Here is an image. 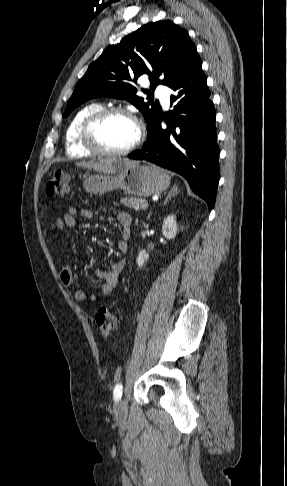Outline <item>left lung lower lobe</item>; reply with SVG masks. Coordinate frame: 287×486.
<instances>
[{"instance_id":"0a47b994","label":"left lung lower lobe","mask_w":287,"mask_h":486,"mask_svg":"<svg viewBox=\"0 0 287 486\" xmlns=\"http://www.w3.org/2000/svg\"><path fill=\"white\" fill-rule=\"evenodd\" d=\"M169 87L176 103L166 120L160 118L148 128L147 141L130 159L146 160L181 174L192 190L211 210L219 182V147L216 140V114L200 57ZM165 119L169 129H162Z\"/></svg>"}]
</instances>
